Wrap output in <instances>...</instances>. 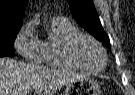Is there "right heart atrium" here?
I'll return each instance as SVG.
<instances>
[{"label": "right heart atrium", "instance_id": "right-heart-atrium-1", "mask_svg": "<svg viewBox=\"0 0 135 95\" xmlns=\"http://www.w3.org/2000/svg\"><path fill=\"white\" fill-rule=\"evenodd\" d=\"M14 46L26 60L39 63L42 60V41L34 33L32 24L24 25L17 33Z\"/></svg>", "mask_w": 135, "mask_h": 95}]
</instances>
